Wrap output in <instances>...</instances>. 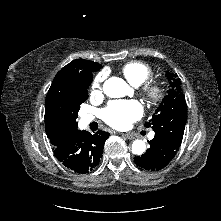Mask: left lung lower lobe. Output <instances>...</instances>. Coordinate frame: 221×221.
I'll return each instance as SVG.
<instances>
[{
    "instance_id": "0a47b994",
    "label": "left lung lower lobe",
    "mask_w": 221,
    "mask_h": 221,
    "mask_svg": "<svg viewBox=\"0 0 221 221\" xmlns=\"http://www.w3.org/2000/svg\"><path fill=\"white\" fill-rule=\"evenodd\" d=\"M181 142L174 136L155 133V137L148 141L150 147L143 155L134 157V161L145 170H160L174 158Z\"/></svg>"
}]
</instances>
